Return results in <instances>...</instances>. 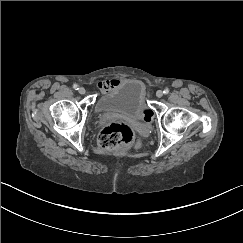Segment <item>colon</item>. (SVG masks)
Returning a JSON list of instances; mask_svg holds the SVG:
<instances>
[{"mask_svg":"<svg viewBox=\"0 0 243 243\" xmlns=\"http://www.w3.org/2000/svg\"><path fill=\"white\" fill-rule=\"evenodd\" d=\"M132 129L123 122L113 121L105 125L98 137V144L104 150H116L132 142Z\"/></svg>","mask_w":243,"mask_h":243,"instance_id":"obj_1","label":"colon"}]
</instances>
